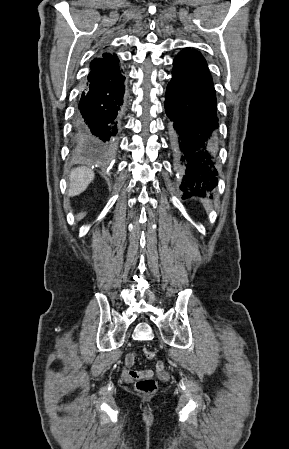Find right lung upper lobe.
<instances>
[{
    "mask_svg": "<svg viewBox=\"0 0 289 449\" xmlns=\"http://www.w3.org/2000/svg\"><path fill=\"white\" fill-rule=\"evenodd\" d=\"M119 64V59L115 54L111 55L103 53L101 58H95L90 63L91 69H103L107 67L116 66Z\"/></svg>",
    "mask_w": 289,
    "mask_h": 449,
    "instance_id": "obj_1",
    "label": "right lung upper lobe"
}]
</instances>
